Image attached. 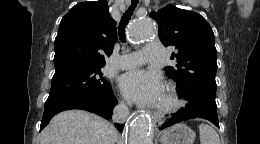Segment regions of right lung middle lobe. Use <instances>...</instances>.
Listing matches in <instances>:
<instances>
[{
	"label": "right lung middle lobe",
	"instance_id": "dd1d6c3e",
	"mask_svg": "<svg viewBox=\"0 0 260 144\" xmlns=\"http://www.w3.org/2000/svg\"><path fill=\"white\" fill-rule=\"evenodd\" d=\"M102 65L70 64L55 69L46 102L80 98L91 99L110 94L111 86L103 77Z\"/></svg>",
	"mask_w": 260,
	"mask_h": 144
}]
</instances>
